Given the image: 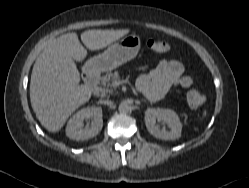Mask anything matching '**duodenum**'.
Segmentation results:
<instances>
[{
    "instance_id": "410a0bca",
    "label": "duodenum",
    "mask_w": 249,
    "mask_h": 188,
    "mask_svg": "<svg viewBox=\"0 0 249 188\" xmlns=\"http://www.w3.org/2000/svg\"><path fill=\"white\" fill-rule=\"evenodd\" d=\"M85 79L86 84L92 91L93 95H97L99 92V74L94 70H87Z\"/></svg>"
}]
</instances>
